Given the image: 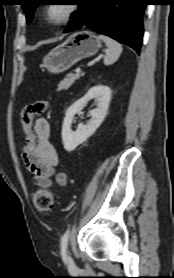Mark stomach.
I'll list each match as a JSON object with an SVG mask.
<instances>
[{"label":"stomach","mask_w":174,"mask_h":278,"mask_svg":"<svg viewBox=\"0 0 174 278\" xmlns=\"http://www.w3.org/2000/svg\"><path fill=\"white\" fill-rule=\"evenodd\" d=\"M100 47L101 43L94 33H75L43 58V67L52 74L64 72L78 61L95 55Z\"/></svg>","instance_id":"0dacf381"}]
</instances>
